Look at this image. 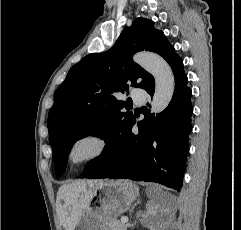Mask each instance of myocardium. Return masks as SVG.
I'll return each instance as SVG.
<instances>
[{"label":"myocardium","instance_id":"f54148a6","mask_svg":"<svg viewBox=\"0 0 241 230\" xmlns=\"http://www.w3.org/2000/svg\"><path fill=\"white\" fill-rule=\"evenodd\" d=\"M83 141L92 142L95 145V148L89 155H87L83 159L75 161L72 158V151L78 143ZM109 146V139L104 134L95 131L84 132L73 138L72 141L69 143L65 154L66 161L71 167H80L105 155L109 149Z\"/></svg>","mask_w":241,"mask_h":230}]
</instances>
